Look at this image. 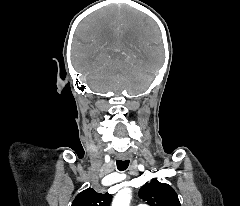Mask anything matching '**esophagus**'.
Returning a JSON list of instances; mask_svg holds the SVG:
<instances>
[{
	"instance_id": "34e87169",
	"label": "esophagus",
	"mask_w": 240,
	"mask_h": 206,
	"mask_svg": "<svg viewBox=\"0 0 240 206\" xmlns=\"http://www.w3.org/2000/svg\"><path fill=\"white\" fill-rule=\"evenodd\" d=\"M121 159H122V160H127L128 157H127V156H123V157H121Z\"/></svg>"
}]
</instances>
